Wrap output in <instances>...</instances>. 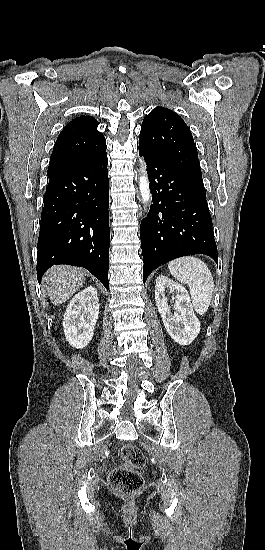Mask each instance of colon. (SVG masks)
<instances>
[{"instance_id": "colon-1", "label": "colon", "mask_w": 265, "mask_h": 550, "mask_svg": "<svg viewBox=\"0 0 265 550\" xmlns=\"http://www.w3.org/2000/svg\"><path fill=\"white\" fill-rule=\"evenodd\" d=\"M122 463L114 468L108 478L109 487L116 493L129 494L143 486V477L139 472L145 465L143 452L133 444H126L120 449Z\"/></svg>"}]
</instances>
